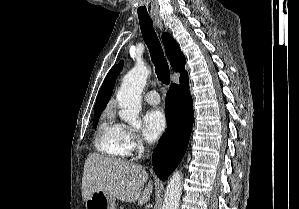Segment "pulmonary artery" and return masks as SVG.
Returning a JSON list of instances; mask_svg holds the SVG:
<instances>
[{
	"mask_svg": "<svg viewBox=\"0 0 299 209\" xmlns=\"http://www.w3.org/2000/svg\"><path fill=\"white\" fill-rule=\"evenodd\" d=\"M144 100L151 105H157L160 103V96L156 90H150L145 93Z\"/></svg>",
	"mask_w": 299,
	"mask_h": 209,
	"instance_id": "1",
	"label": "pulmonary artery"
}]
</instances>
